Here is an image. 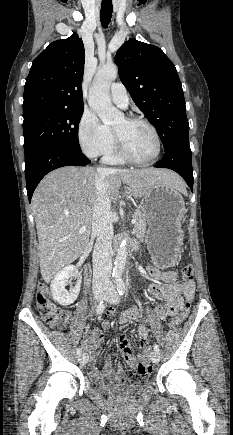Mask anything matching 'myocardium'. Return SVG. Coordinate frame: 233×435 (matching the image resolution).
I'll return each instance as SVG.
<instances>
[{"instance_id": "1", "label": "myocardium", "mask_w": 233, "mask_h": 435, "mask_svg": "<svg viewBox=\"0 0 233 435\" xmlns=\"http://www.w3.org/2000/svg\"><path fill=\"white\" fill-rule=\"evenodd\" d=\"M125 120L127 122H140V123L145 124L152 132V135H153L154 140H155L156 150H155V154H154L152 159H150L148 161L137 160L126 150V148H125L120 136L118 135V133L115 130H112L115 141H116V146H117V149H118L120 156L122 157V159L124 161L131 163L133 165H137V166H150V165L154 164L158 160L160 153H161V140H160V136L158 134L157 129L149 120H147L141 116L130 115V116L125 117Z\"/></svg>"}]
</instances>
